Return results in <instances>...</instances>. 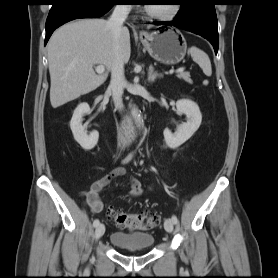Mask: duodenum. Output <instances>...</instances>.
<instances>
[{
  "instance_id": "1",
  "label": "duodenum",
  "mask_w": 278,
  "mask_h": 278,
  "mask_svg": "<svg viewBox=\"0 0 278 278\" xmlns=\"http://www.w3.org/2000/svg\"><path fill=\"white\" fill-rule=\"evenodd\" d=\"M137 123L133 117L129 116L124 119L120 126L121 135L124 141L132 139L137 132Z\"/></svg>"
}]
</instances>
